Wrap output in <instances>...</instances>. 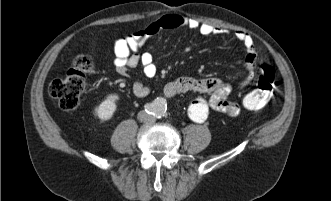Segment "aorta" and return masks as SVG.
<instances>
[{"label":"aorta","mask_w":331,"mask_h":201,"mask_svg":"<svg viewBox=\"0 0 331 201\" xmlns=\"http://www.w3.org/2000/svg\"><path fill=\"white\" fill-rule=\"evenodd\" d=\"M167 110L166 101L162 98L155 99L151 104V111L155 116H163Z\"/></svg>","instance_id":"762f6f07"}]
</instances>
